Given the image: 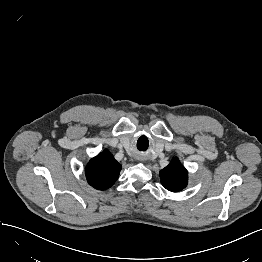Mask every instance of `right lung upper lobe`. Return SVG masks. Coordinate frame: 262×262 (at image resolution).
I'll use <instances>...</instances> for the list:
<instances>
[{"label":"right lung upper lobe","mask_w":262,"mask_h":262,"mask_svg":"<svg viewBox=\"0 0 262 262\" xmlns=\"http://www.w3.org/2000/svg\"><path fill=\"white\" fill-rule=\"evenodd\" d=\"M121 165L109 151H104L90 160L86 167L88 183L98 190L111 187L118 179Z\"/></svg>","instance_id":"obj_1"}]
</instances>
